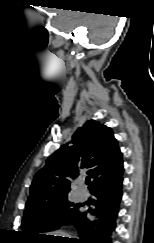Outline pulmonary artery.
I'll use <instances>...</instances> for the list:
<instances>
[{"label": "pulmonary artery", "instance_id": "e3ab8cb5", "mask_svg": "<svg viewBox=\"0 0 154 243\" xmlns=\"http://www.w3.org/2000/svg\"><path fill=\"white\" fill-rule=\"evenodd\" d=\"M78 198L81 200V201H84L88 198V192L85 191V190H79L78 191Z\"/></svg>", "mask_w": 154, "mask_h": 243}]
</instances>
